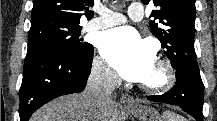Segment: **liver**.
<instances>
[{
    "instance_id": "1",
    "label": "liver",
    "mask_w": 217,
    "mask_h": 121,
    "mask_svg": "<svg viewBox=\"0 0 217 121\" xmlns=\"http://www.w3.org/2000/svg\"><path fill=\"white\" fill-rule=\"evenodd\" d=\"M83 94L59 97L37 110L30 121H97ZM120 111L114 102L108 114L99 121H121Z\"/></svg>"
}]
</instances>
